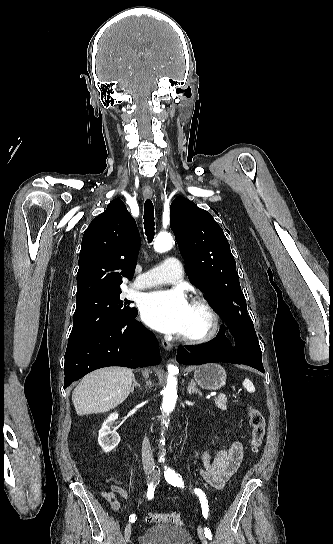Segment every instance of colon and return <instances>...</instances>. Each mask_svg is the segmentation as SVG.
Segmentation results:
<instances>
[{
    "label": "colon",
    "instance_id": "1",
    "mask_svg": "<svg viewBox=\"0 0 333 544\" xmlns=\"http://www.w3.org/2000/svg\"><path fill=\"white\" fill-rule=\"evenodd\" d=\"M248 420L250 424V447L252 452L260 450L265 435V418L261 411L255 407H249ZM146 523H170L181 526L184 524V518L179 512L169 513H150L145 518Z\"/></svg>",
    "mask_w": 333,
    "mask_h": 544
}]
</instances>
